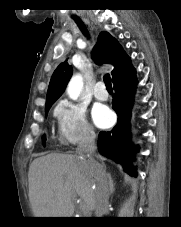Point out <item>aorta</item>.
Returning <instances> with one entry per match:
<instances>
[{
	"instance_id": "1",
	"label": "aorta",
	"mask_w": 181,
	"mask_h": 227,
	"mask_svg": "<svg viewBox=\"0 0 181 227\" xmlns=\"http://www.w3.org/2000/svg\"><path fill=\"white\" fill-rule=\"evenodd\" d=\"M82 88H83L82 75L81 74L74 75L71 78L66 90L69 98L72 100H77L81 93Z\"/></svg>"
}]
</instances>
